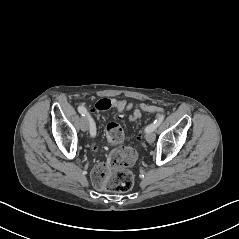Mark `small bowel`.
Segmentation results:
<instances>
[{
  "label": "small bowel",
  "instance_id": "c3829d8e",
  "mask_svg": "<svg viewBox=\"0 0 239 239\" xmlns=\"http://www.w3.org/2000/svg\"><path fill=\"white\" fill-rule=\"evenodd\" d=\"M114 104H115V109L118 110L121 113L127 112V111H132L129 118L130 120H136L138 118H140L141 116V111L138 107L134 106L131 103H127L125 101L122 100H117V99H113Z\"/></svg>",
  "mask_w": 239,
  "mask_h": 239
}]
</instances>
